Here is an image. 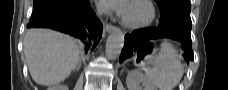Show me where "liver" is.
Returning a JSON list of instances; mask_svg holds the SVG:
<instances>
[{
	"label": "liver",
	"mask_w": 228,
	"mask_h": 90,
	"mask_svg": "<svg viewBox=\"0 0 228 90\" xmlns=\"http://www.w3.org/2000/svg\"><path fill=\"white\" fill-rule=\"evenodd\" d=\"M23 46L30 75L43 86L63 82L79 62L80 51L75 40L58 32L28 30Z\"/></svg>",
	"instance_id": "6515ba94"
}]
</instances>
